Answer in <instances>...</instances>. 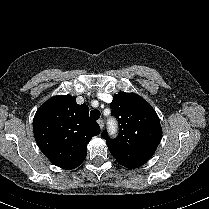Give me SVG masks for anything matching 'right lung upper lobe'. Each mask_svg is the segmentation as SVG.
I'll return each mask as SVG.
<instances>
[{"label":"right lung upper lobe","instance_id":"1","mask_svg":"<svg viewBox=\"0 0 209 209\" xmlns=\"http://www.w3.org/2000/svg\"><path fill=\"white\" fill-rule=\"evenodd\" d=\"M33 131L40 150L51 163L73 169L85 159L87 144L100 133V127L89 118L87 105L77 104L70 95H59L37 110Z\"/></svg>","mask_w":209,"mask_h":209}]
</instances>
